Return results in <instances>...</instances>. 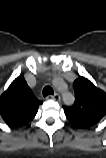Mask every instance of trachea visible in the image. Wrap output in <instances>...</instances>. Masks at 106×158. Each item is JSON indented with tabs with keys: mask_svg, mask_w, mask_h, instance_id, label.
Instances as JSON below:
<instances>
[{
	"mask_svg": "<svg viewBox=\"0 0 106 158\" xmlns=\"http://www.w3.org/2000/svg\"><path fill=\"white\" fill-rule=\"evenodd\" d=\"M43 96L54 95V91L50 86H45L42 91Z\"/></svg>",
	"mask_w": 106,
	"mask_h": 158,
	"instance_id": "1",
	"label": "trachea"
}]
</instances>
